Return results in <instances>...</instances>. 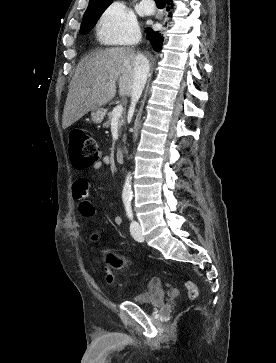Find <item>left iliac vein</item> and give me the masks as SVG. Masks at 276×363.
Returning a JSON list of instances; mask_svg holds the SVG:
<instances>
[{
	"label": "left iliac vein",
	"instance_id": "obj_1",
	"mask_svg": "<svg viewBox=\"0 0 276 363\" xmlns=\"http://www.w3.org/2000/svg\"><path fill=\"white\" fill-rule=\"evenodd\" d=\"M130 232L132 237L139 242H142L144 240L141 225L138 221L133 220L130 225Z\"/></svg>",
	"mask_w": 276,
	"mask_h": 363
}]
</instances>
